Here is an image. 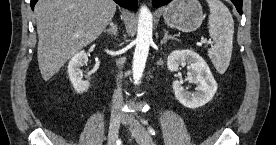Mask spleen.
Listing matches in <instances>:
<instances>
[{
  "label": "spleen",
  "instance_id": "1",
  "mask_svg": "<svg viewBox=\"0 0 276 145\" xmlns=\"http://www.w3.org/2000/svg\"><path fill=\"white\" fill-rule=\"evenodd\" d=\"M207 3L210 8L209 34L215 42L208 49V56L217 72L224 74L233 49L234 21L229 9L220 0H207Z\"/></svg>",
  "mask_w": 276,
  "mask_h": 145
}]
</instances>
